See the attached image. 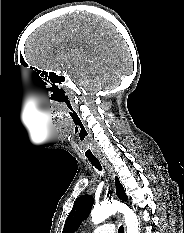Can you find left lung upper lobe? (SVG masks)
<instances>
[{
	"label": "left lung upper lobe",
	"mask_w": 184,
	"mask_h": 233,
	"mask_svg": "<svg viewBox=\"0 0 184 233\" xmlns=\"http://www.w3.org/2000/svg\"><path fill=\"white\" fill-rule=\"evenodd\" d=\"M117 196L123 200H127L124 188L119 182L118 178H115ZM93 206V197L91 195H82L76 199L73 209L69 213L62 233H74L82 221L87 219L91 208Z\"/></svg>",
	"instance_id": "1"
}]
</instances>
